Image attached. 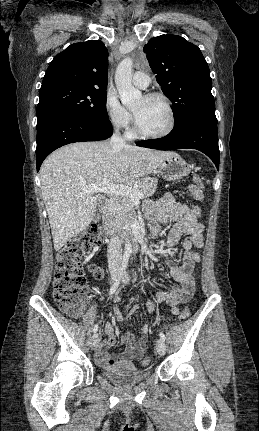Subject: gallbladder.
Listing matches in <instances>:
<instances>
[{
    "label": "gallbladder",
    "mask_w": 259,
    "mask_h": 431,
    "mask_svg": "<svg viewBox=\"0 0 259 431\" xmlns=\"http://www.w3.org/2000/svg\"><path fill=\"white\" fill-rule=\"evenodd\" d=\"M102 206L103 204L101 202H98L95 214H94V221L97 222L100 220L101 218V214H102Z\"/></svg>",
    "instance_id": "obj_1"
}]
</instances>
